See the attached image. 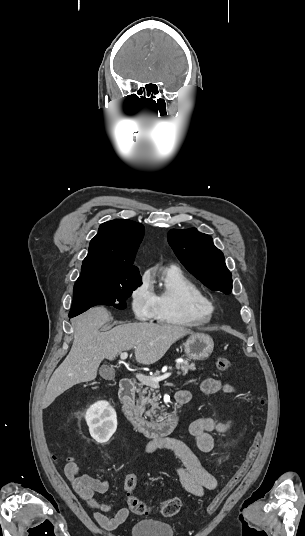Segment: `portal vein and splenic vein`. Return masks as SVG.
<instances>
[{"label": "portal vein and splenic vein", "instance_id": "18ae733b", "mask_svg": "<svg viewBox=\"0 0 305 536\" xmlns=\"http://www.w3.org/2000/svg\"><path fill=\"white\" fill-rule=\"evenodd\" d=\"M121 360H126L128 358L127 352H123V354H120ZM176 362H183V360H176ZM166 372V370H165ZM171 374H163V376H157V378H149V376H143V374H136L137 380H140L142 384H151V386H158L159 382H162V380H166V378H169Z\"/></svg>", "mask_w": 305, "mask_h": 536}]
</instances>
